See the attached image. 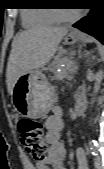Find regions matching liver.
I'll use <instances>...</instances> for the list:
<instances>
[{"label": "liver", "mask_w": 104, "mask_h": 169, "mask_svg": "<svg viewBox=\"0 0 104 169\" xmlns=\"http://www.w3.org/2000/svg\"><path fill=\"white\" fill-rule=\"evenodd\" d=\"M68 31L67 27L40 26L14 38L6 71L9 94L20 76L43 68L51 60Z\"/></svg>", "instance_id": "obj_1"}]
</instances>
